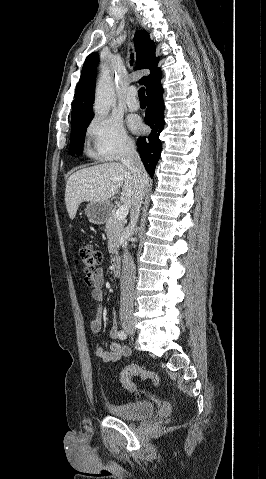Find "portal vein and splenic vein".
I'll use <instances>...</instances> for the list:
<instances>
[{"instance_id": "portal-vein-and-splenic-vein-1", "label": "portal vein and splenic vein", "mask_w": 266, "mask_h": 479, "mask_svg": "<svg viewBox=\"0 0 266 479\" xmlns=\"http://www.w3.org/2000/svg\"><path fill=\"white\" fill-rule=\"evenodd\" d=\"M128 212H129L128 206L122 205L117 209L115 217L118 220H124L127 217Z\"/></svg>"}]
</instances>
